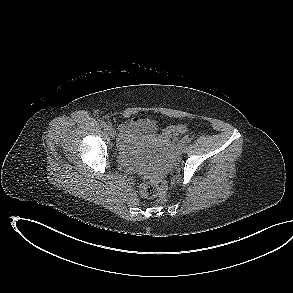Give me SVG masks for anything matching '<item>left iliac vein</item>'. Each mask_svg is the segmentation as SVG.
<instances>
[{
  "label": "left iliac vein",
  "mask_w": 293,
  "mask_h": 293,
  "mask_svg": "<svg viewBox=\"0 0 293 293\" xmlns=\"http://www.w3.org/2000/svg\"><path fill=\"white\" fill-rule=\"evenodd\" d=\"M186 151H187L186 146L185 145H181V152L182 153H186Z\"/></svg>",
  "instance_id": "left-iliac-vein-1"
}]
</instances>
